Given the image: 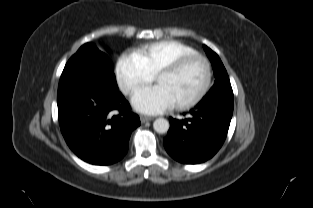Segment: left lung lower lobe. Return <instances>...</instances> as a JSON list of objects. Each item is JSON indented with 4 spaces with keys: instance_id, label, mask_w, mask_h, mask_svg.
Returning <instances> with one entry per match:
<instances>
[{
    "instance_id": "1",
    "label": "left lung lower lobe",
    "mask_w": 313,
    "mask_h": 208,
    "mask_svg": "<svg viewBox=\"0 0 313 208\" xmlns=\"http://www.w3.org/2000/svg\"><path fill=\"white\" fill-rule=\"evenodd\" d=\"M233 105V93H212L190 110L189 118L170 117V129L163 140L168 154L185 164H198L212 158L227 136Z\"/></svg>"
}]
</instances>
